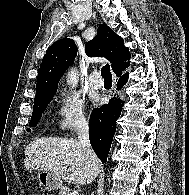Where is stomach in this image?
Wrapping results in <instances>:
<instances>
[{
	"label": "stomach",
	"mask_w": 189,
	"mask_h": 195,
	"mask_svg": "<svg viewBox=\"0 0 189 195\" xmlns=\"http://www.w3.org/2000/svg\"><path fill=\"white\" fill-rule=\"evenodd\" d=\"M37 180L48 191L57 190L61 187L60 178L49 171H38Z\"/></svg>",
	"instance_id": "obj_1"
}]
</instances>
